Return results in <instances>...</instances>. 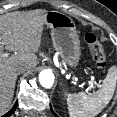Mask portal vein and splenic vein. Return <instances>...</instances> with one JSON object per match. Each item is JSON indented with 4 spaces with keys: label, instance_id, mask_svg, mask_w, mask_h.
Listing matches in <instances>:
<instances>
[{
    "label": "portal vein and splenic vein",
    "instance_id": "1",
    "mask_svg": "<svg viewBox=\"0 0 117 117\" xmlns=\"http://www.w3.org/2000/svg\"><path fill=\"white\" fill-rule=\"evenodd\" d=\"M4 57H7L8 56V54L7 53H5L4 55H3ZM75 81H77V79L75 78ZM83 85V84H82ZM81 85V86H82ZM89 85H90V88H94V83H93V81H89Z\"/></svg>",
    "mask_w": 117,
    "mask_h": 117
}]
</instances>
